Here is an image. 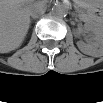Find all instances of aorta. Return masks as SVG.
Segmentation results:
<instances>
[{"mask_svg": "<svg viewBox=\"0 0 103 103\" xmlns=\"http://www.w3.org/2000/svg\"><path fill=\"white\" fill-rule=\"evenodd\" d=\"M52 13L56 17H65L68 14V6L65 3L59 2L53 6Z\"/></svg>", "mask_w": 103, "mask_h": 103, "instance_id": "obj_1", "label": "aorta"}]
</instances>
